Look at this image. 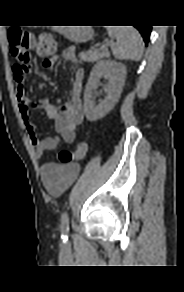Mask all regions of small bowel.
Here are the masks:
<instances>
[{
  "label": "small bowel",
  "instance_id": "small-bowel-1",
  "mask_svg": "<svg viewBox=\"0 0 184 292\" xmlns=\"http://www.w3.org/2000/svg\"><path fill=\"white\" fill-rule=\"evenodd\" d=\"M61 57L73 64L78 63L74 47L64 49ZM59 60L60 57L58 55H53L44 60L43 66L47 69H52ZM13 72L19 112L35 154L40 157L46 151L54 150L58 146L60 138H38L37 128L30 120V111L34 108H43L47 116L55 122L57 133L61 139L66 143H73L76 139V128L83 120L81 90L85 75L84 69L79 67L75 70L71 85L70 101L62 106H56L44 98L32 103L29 102L25 95L27 70L21 71L16 64ZM78 174V163L58 164L55 162H44L41 165L42 183L46 191L53 196L63 194L73 184Z\"/></svg>",
  "mask_w": 184,
  "mask_h": 292
}]
</instances>
